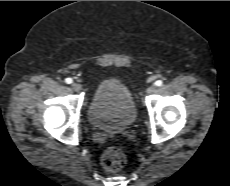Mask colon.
<instances>
[{"mask_svg":"<svg viewBox=\"0 0 230 186\" xmlns=\"http://www.w3.org/2000/svg\"><path fill=\"white\" fill-rule=\"evenodd\" d=\"M126 162L125 154L117 148H109L101 156L102 166L111 172L120 170Z\"/></svg>","mask_w":230,"mask_h":186,"instance_id":"colon-1","label":"colon"}]
</instances>
